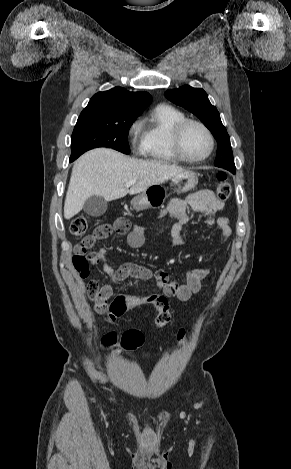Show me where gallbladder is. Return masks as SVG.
Returning <instances> with one entry per match:
<instances>
[{"mask_svg": "<svg viewBox=\"0 0 291 469\" xmlns=\"http://www.w3.org/2000/svg\"><path fill=\"white\" fill-rule=\"evenodd\" d=\"M83 210L90 216L100 217L107 210V201L101 196L92 195L85 201Z\"/></svg>", "mask_w": 291, "mask_h": 469, "instance_id": "1", "label": "gallbladder"}]
</instances>
